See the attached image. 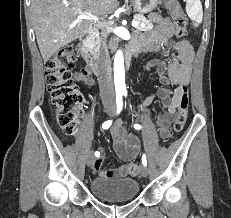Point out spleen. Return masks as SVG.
Returning a JSON list of instances; mask_svg holds the SVG:
<instances>
[{
	"instance_id": "3e777b00",
	"label": "spleen",
	"mask_w": 231,
	"mask_h": 218,
	"mask_svg": "<svg viewBox=\"0 0 231 218\" xmlns=\"http://www.w3.org/2000/svg\"><path fill=\"white\" fill-rule=\"evenodd\" d=\"M186 12L188 17L192 20L193 25L198 27L203 20V10L200 0H185Z\"/></svg>"
}]
</instances>
